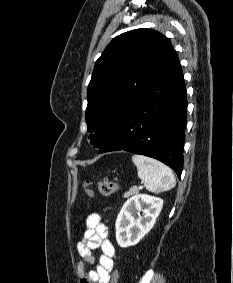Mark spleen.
<instances>
[{"label":"spleen","instance_id":"1","mask_svg":"<svg viewBox=\"0 0 233 283\" xmlns=\"http://www.w3.org/2000/svg\"><path fill=\"white\" fill-rule=\"evenodd\" d=\"M132 161L137 167L138 177L144 181L145 188L150 192L159 193L175 187V176L165 164L138 154L132 156Z\"/></svg>","mask_w":233,"mask_h":283}]
</instances>
